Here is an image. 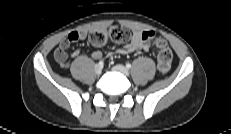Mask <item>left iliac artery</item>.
Here are the masks:
<instances>
[{
  "mask_svg": "<svg viewBox=\"0 0 231 134\" xmlns=\"http://www.w3.org/2000/svg\"><path fill=\"white\" fill-rule=\"evenodd\" d=\"M126 67H127L128 69H130V68H131V64H130V63H127V64H126Z\"/></svg>",
  "mask_w": 231,
  "mask_h": 134,
  "instance_id": "1",
  "label": "left iliac artery"
}]
</instances>
